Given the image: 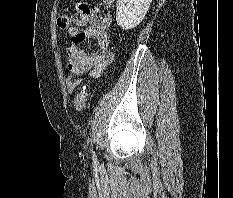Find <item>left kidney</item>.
I'll use <instances>...</instances> for the list:
<instances>
[{"label":"left kidney","instance_id":"1","mask_svg":"<svg viewBox=\"0 0 233 198\" xmlns=\"http://www.w3.org/2000/svg\"><path fill=\"white\" fill-rule=\"evenodd\" d=\"M152 0H117L116 21L122 29L129 30L144 19Z\"/></svg>","mask_w":233,"mask_h":198}]
</instances>
